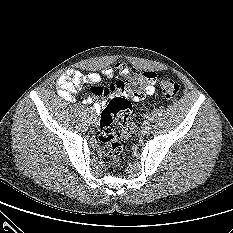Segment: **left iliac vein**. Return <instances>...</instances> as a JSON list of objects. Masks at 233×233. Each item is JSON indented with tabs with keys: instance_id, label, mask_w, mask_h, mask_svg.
<instances>
[{
	"instance_id": "left-iliac-vein-1",
	"label": "left iliac vein",
	"mask_w": 233,
	"mask_h": 233,
	"mask_svg": "<svg viewBox=\"0 0 233 233\" xmlns=\"http://www.w3.org/2000/svg\"><path fill=\"white\" fill-rule=\"evenodd\" d=\"M149 130H150V125H149V122H144V124L142 125V130H141V132H142V134L143 135H145V134H147L148 132H149Z\"/></svg>"
}]
</instances>
